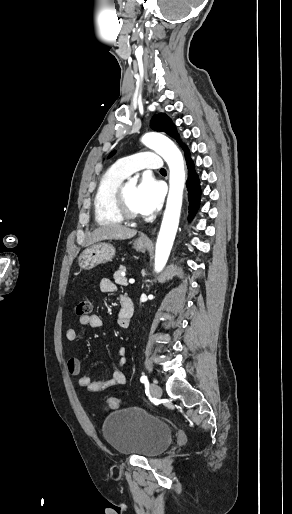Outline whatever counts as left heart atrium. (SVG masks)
Here are the masks:
<instances>
[{
  "instance_id": "left-heart-atrium-1",
  "label": "left heart atrium",
  "mask_w": 292,
  "mask_h": 514,
  "mask_svg": "<svg viewBox=\"0 0 292 514\" xmlns=\"http://www.w3.org/2000/svg\"><path fill=\"white\" fill-rule=\"evenodd\" d=\"M161 183L151 174H143L136 188V197L142 213H153L158 210L163 200Z\"/></svg>"
}]
</instances>
